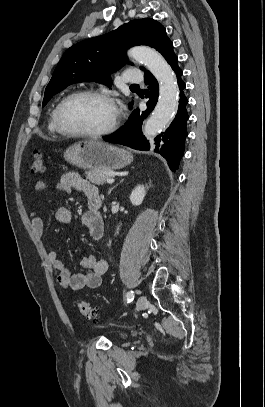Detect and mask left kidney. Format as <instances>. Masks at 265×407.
Returning <instances> with one entry per match:
<instances>
[{"mask_svg":"<svg viewBox=\"0 0 265 407\" xmlns=\"http://www.w3.org/2000/svg\"><path fill=\"white\" fill-rule=\"evenodd\" d=\"M146 191L143 185H138L130 195L132 205L139 206L145 197Z\"/></svg>","mask_w":265,"mask_h":407,"instance_id":"5707ae66","label":"left kidney"}]
</instances>
